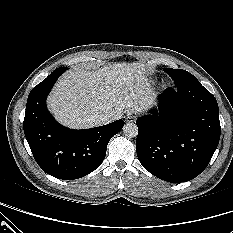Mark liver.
Instances as JSON below:
<instances>
[{"instance_id":"obj_1","label":"liver","mask_w":233,"mask_h":233,"mask_svg":"<svg viewBox=\"0 0 233 233\" xmlns=\"http://www.w3.org/2000/svg\"><path fill=\"white\" fill-rule=\"evenodd\" d=\"M155 98L143 64L116 63L69 71L55 85L48 106L63 125L85 129L99 125L97 115L108 114L114 121L149 109Z\"/></svg>"}]
</instances>
